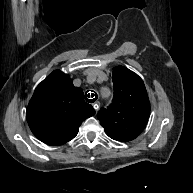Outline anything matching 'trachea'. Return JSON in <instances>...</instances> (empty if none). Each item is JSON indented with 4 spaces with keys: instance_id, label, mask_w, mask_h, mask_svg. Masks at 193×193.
<instances>
[{
    "instance_id": "3493384b",
    "label": "trachea",
    "mask_w": 193,
    "mask_h": 193,
    "mask_svg": "<svg viewBox=\"0 0 193 193\" xmlns=\"http://www.w3.org/2000/svg\"><path fill=\"white\" fill-rule=\"evenodd\" d=\"M87 92H88V91H87ZM87 96H88V98H93V97H94V96H91V97H90V93H88V94L86 95V97H85L87 102H89V103L95 102L96 97L93 98V99H88Z\"/></svg>"
}]
</instances>
